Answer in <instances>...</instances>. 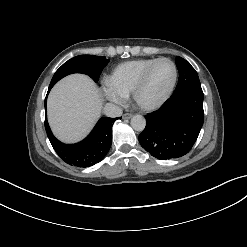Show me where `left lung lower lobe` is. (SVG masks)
Segmentation results:
<instances>
[{
	"instance_id": "0a47b994",
	"label": "left lung lower lobe",
	"mask_w": 247,
	"mask_h": 247,
	"mask_svg": "<svg viewBox=\"0 0 247 247\" xmlns=\"http://www.w3.org/2000/svg\"><path fill=\"white\" fill-rule=\"evenodd\" d=\"M145 117L146 127L139 142L146 151L161 160L187 154L204 122L201 85L176 88L159 110Z\"/></svg>"
}]
</instances>
